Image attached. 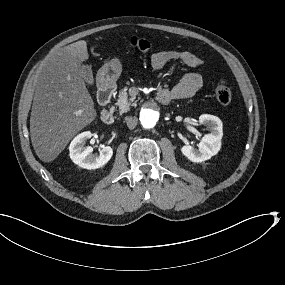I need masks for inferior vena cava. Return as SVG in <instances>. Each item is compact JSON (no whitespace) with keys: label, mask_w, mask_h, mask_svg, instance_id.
<instances>
[{"label":"inferior vena cava","mask_w":285,"mask_h":285,"mask_svg":"<svg viewBox=\"0 0 285 285\" xmlns=\"http://www.w3.org/2000/svg\"><path fill=\"white\" fill-rule=\"evenodd\" d=\"M124 121L126 122L129 129H134L137 125L138 119L137 117L126 116L124 118Z\"/></svg>","instance_id":"inferior-vena-cava-1"}]
</instances>
